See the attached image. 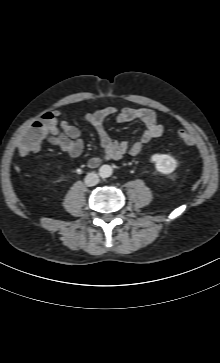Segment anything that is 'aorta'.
Wrapping results in <instances>:
<instances>
[{"label":"aorta","mask_w":220,"mask_h":363,"mask_svg":"<svg viewBox=\"0 0 220 363\" xmlns=\"http://www.w3.org/2000/svg\"><path fill=\"white\" fill-rule=\"evenodd\" d=\"M112 167L110 165H103L99 169L101 177L106 178L112 175Z\"/></svg>","instance_id":"aorta-1"}]
</instances>
